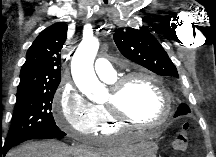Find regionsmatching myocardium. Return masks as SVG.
Here are the masks:
<instances>
[{"label":"myocardium","mask_w":216,"mask_h":157,"mask_svg":"<svg viewBox=\"0 0 216 157\" xmlns=\"http://www.w3.org/2000/svg\"><path fill=\"white\" fill-rule=\"evenodd\" d=\"M146 79L153 83L163 97L164 109L162 116L156 121H141L130 116L123 107V92L126 85L133 79ZM110 98L105 102V106L111 117L119 124L132 125L134 127H158L165 124L171 115V96L164 84L155 76L145 71H135L121 76L114 80L110 86Z\"/></svg>","instance_id":"f54148a6"}]
</instances>
